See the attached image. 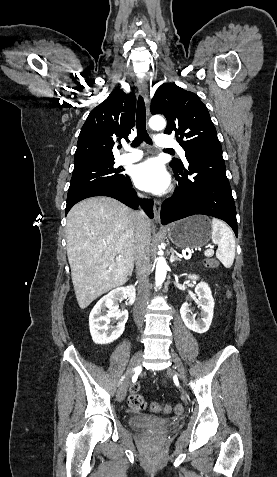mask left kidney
I'll list each match as a JSON object with an SVG mask.
<instances>
[{
	"mask_svg": "<svg viewBox=\"0 0 277 477\" xmlns=\"http://www.w3.org/2000/svg\"><path fill=\"white\" fill-rule=\"evenodd\" d=\"M189 279L197 280L199 277L197 275H189ZM195 292L198 295L199 304L198 306L201 309V318L195 319V316L192 315L187 302L183 303L180 308V315L185 324V326L199 334L205 333L208 331L214 313V299L212 296L211 289L209 285L205 282H200L195 287Z\"/></svg>",
	"mask_w": 277,
	"mask_h": 477,
	"instance_id": "1",
	"label": "left kidney"
}]
</instances>
